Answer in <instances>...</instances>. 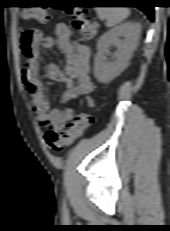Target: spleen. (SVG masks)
Segmentation results:
<instances>
[{"label": "spleen", "instance_id": "obj_1", "mask_svg": "<svg viewBox=\"0 0 170 231\" xmlns=\"http://www.w3.org/2000/svg\"><path fill=\"white\" fill-rule=\"evenodd\" d=\"M100 19H106V26L112 27L129 16V10L126 7H97L95 8Z\"/></svg>", "mask_w": 170, "mask_h": 231}]
</instances>
